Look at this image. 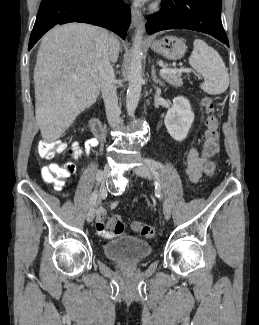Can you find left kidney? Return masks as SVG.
<instances>
[{
    "label": "left kidney",
    "instance_id": "left-kidney-1",
    "mask_svg": "<svg viewBox=\"0 0 259 325\" xmlns=\"http://www.w3.org/2000/svg\"><path fill=\"white\" fill-rule=\"evenodd\" d=\"M194 117L188 99L181 96L175 97L173 105L167 111L164 120L170 136L177 141H183L188 135Z\"/></svg>",
    "mask_w": 259,
    "mask_h": 325
}]
</instances>
